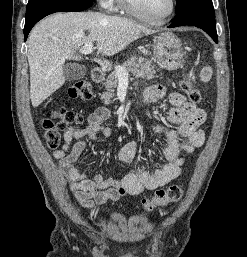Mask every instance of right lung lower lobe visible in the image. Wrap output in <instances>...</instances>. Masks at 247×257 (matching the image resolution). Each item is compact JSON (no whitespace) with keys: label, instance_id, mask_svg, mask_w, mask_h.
Instances as JSON below:
<instances>
[{"label":"right lung lower lobe","instance_id":"1","mask_svg":"<svg viewBox=\"0 0 247 257\" xmlns=\"http://www.w3.org/2000/svg\"><path fill=\"white\" fill-rule=\"evenodd\" d=\"M92 4V0H36L29 2L25 17V41L32 27L45 16L55 12L83 11Z\"/></svg>","mask_w":247,"mask_h":257}]
</instances>
